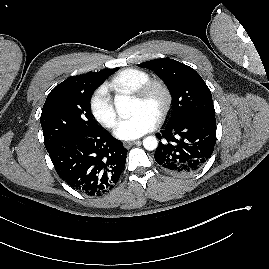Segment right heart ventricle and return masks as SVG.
Listing matches in <instances>:
<instances>
[{"label":"right heart ventricle","instance_id":"right-heart-ventricle-1","mask_svg":"<svg viewBox=\"0 0 269 269\" xmlns=\"http://www.w3.org/2000/svg\"><path fill=\"white\" fill-rule=\"evenodd\" d=\"M149 79L150 74L145 70L126 68L114 75L108 86L118 94H133Z\"/></svg>","mask_w":269,"mask_h":269}]
</instances>
